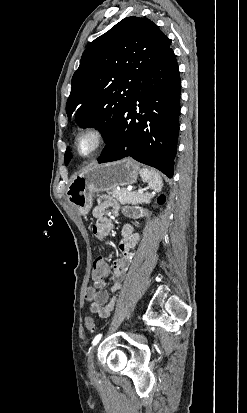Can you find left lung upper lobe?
I'll list each match as a JSON object with an SVG mask.
<instances>
[{
	"label": "left lung upper lobe",
	"instance_id": "obj_1",
	"mask_svg": "<svg viewBox=\"0 0 247 413\" xmlns=\"http://www.w3.org/2000/svg\"><path fill=\"white\" fill-rule=\"evenodd\" d=\"M171 40L147 18L127 17L84 51L72 78L66 113L80 127H96L105 142L147 73ZM71 160L67 149L65 165Z\"/></svg>",
	"mask_w": 247,
	"mask_h": 413
}]
</instances>
